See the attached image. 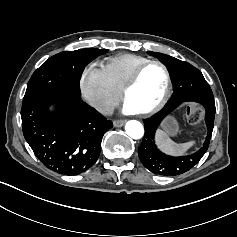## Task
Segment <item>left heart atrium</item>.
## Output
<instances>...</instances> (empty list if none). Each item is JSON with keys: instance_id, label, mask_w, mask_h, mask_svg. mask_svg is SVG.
Here are the masks:
<instances>
[{"instance_id": "obj_1", "label": "left heart atrium", "mask_w": 237, "mask_h": 237, "mask_svg": "<svg viewBox=\"0 0 237 237\" xmlns=\"http://www.w3.org/2000/svg\"><path fill=\"white\" fill-rule=\"evenodd\" d=\"M122 112L125 113V114H136V113H138L127 102H125V104L123 105Z\"/></svg>"}]
</instances>
